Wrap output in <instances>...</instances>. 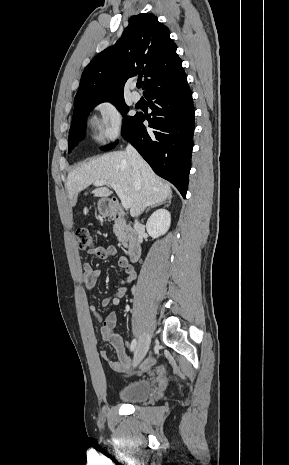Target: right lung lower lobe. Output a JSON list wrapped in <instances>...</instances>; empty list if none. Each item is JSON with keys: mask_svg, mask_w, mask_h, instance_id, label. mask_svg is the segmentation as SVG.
<instances>
[{"mask_svg": "<svg viewBox=\"0 0 289 465\" xmlns=\"http://www.w3.org/2000/svg\"><path fill=\"white\" fill-rule=\"evenodd\" d=\"M150 115L137 114L124 135L154 172L176 186L185 198L193 149L194 106L184 79L147 94ZM149 122V127L143 121Z\"/></svg>", "mask_w": 289, "mask_h": 465, "instance_id": "98d812e1", "label": "right lung lower lobe"}]
</instances>
